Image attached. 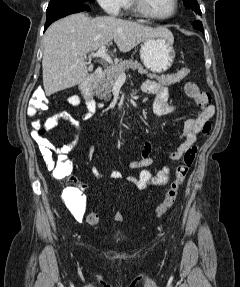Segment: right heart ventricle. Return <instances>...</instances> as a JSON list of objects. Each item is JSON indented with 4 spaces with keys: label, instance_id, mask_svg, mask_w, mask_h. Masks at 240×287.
Instances as JSON below:
<instances>
[{
    "label": "right heart ventricle",
    "instance_id": "1",
    "mask_svg": "<svg viewBox=\"0 0 240 287\" xmlns=\"http://www.w3.org/2000/svg\"><path fill=\"white\" fill-rule=\"evenodd\" d=\"M128 13H134L135 7L133 0H125L124 7H123Z\"/></svg>",
    "mask_w": 240,
    "mask_h": 287
}]
</instances>
